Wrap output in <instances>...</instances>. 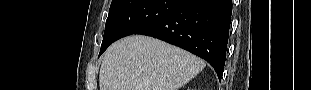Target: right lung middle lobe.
I'll use <instances>...</instances> for the list:
<instances>
[{"instance_id": "obj_1", "label": "right lung middle lobe", "mask_w": 311, "mask_h": 90, "mask_svg": "<svg viewBox=\"0 0 311 90\" xmlns=\"http://www.w3.org/2000/svg\"><path fill=\"white\" fill-rule=\"evenodd\" d=\"M183 0H113L100 55L119 38L136 34L172 12Z\"/></svg>"}]
</instances>
